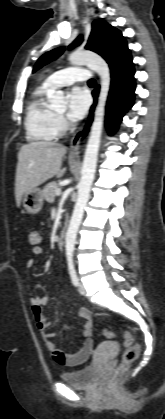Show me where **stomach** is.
I'll return each mask as SVG.
<instances>
[{"instance_id":"obj_1","label":"stomach","mask_w":165,"mask_h":419,"mask_svg":"<svg viewBox=\"0 0 165 419\" xmlns=\"http://www.w3.org/2000/svg\"><path fill=\"white\" fill-rule=\"evenodd\" d=\"M22 205L30 214H37L43 206L44 196L39 188H35L22 196Z\"/></svg>"}]
</instances>
